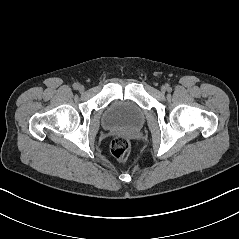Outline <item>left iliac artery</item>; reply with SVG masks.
Wrapping results in <instances>:
<instances>
[{"label": "left iliac artery", "instance_id": "1", "mask_svg": "<svg viewBox=\"0 0 239 239\" xmlns=\"http://www.w3.org/2000/svg\"><path fill=\"white\" fill-rule=\"evenodd\" d=\"M171 87L169 85H167V91H171Z\"/></svg>", "mask_w": 239, "mask_h": 239}]
</instances>
